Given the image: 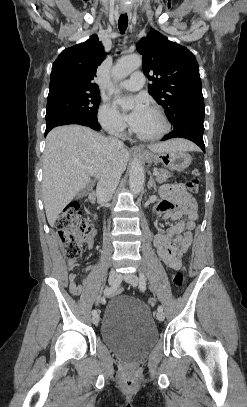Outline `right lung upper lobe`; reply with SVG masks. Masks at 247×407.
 <instances>
[{
	"mask_svg": "<svg viewBox=\"0 0 247 407\" xmlns=\"http://www.w3.org/2000/svg\"><path fill=\"white\" fill-rule=\"evenodd\" d=\"M105 55L96 35L62 51L53 63L49 93L63 89L99 91L94 77Z\"/></svg>",
	"mask_w": 247,
	"mask_h": 407,
	"instance_id": "1",
	"label": "right lung upper lobe"
}]
</instances>
